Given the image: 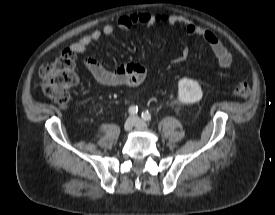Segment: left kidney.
<instances>
[{
	"label": "left kidney",
	"mask_w": 275,
	"mask_h": 215,
	"mask_svg": "<svg viewBox=\"0 0 275 215\" xmlns=\"http://www.w3.org/2000/svg\"><path fill=\"white\" fill-rule=\"evenodd\" d=\"M203 92L199 83L189 78H182L178 82V98L185 104L196 103L201 100Z\"/></svg>",
	"instance_id": "left-kidney-1"
}]
</instances>
